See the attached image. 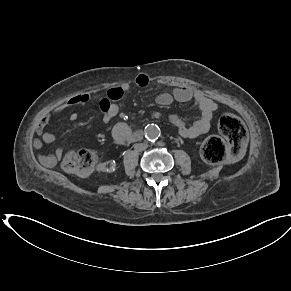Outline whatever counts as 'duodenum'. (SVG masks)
I'll return each mask as SVG.
<instances>
[{"mask_svg":"<svg viewBox=\"0 0 291 291\" xmlns=\"http://www.w3.org/2000/svg\"><path fill=\"white\" fill-rule=\"evenodd\" d=\"M142 137L141 132H134L132 135L133 140H139Z\"/></svg>","mask_w":291,"mask_h":291,"instance_id":"1","label":"duodenum"}]
</instances>
